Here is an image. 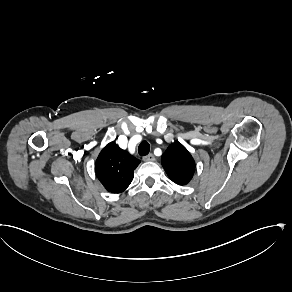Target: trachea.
Returning a JSON list of instances; mask_svg holds the SVG:
<instances>
[{"instance_id":"1","label":"trachea","mask_w":292,"mask_h":292,"mask_svg":"<svg viewBox=\"0 0 292 292\" xmlns=\"http://www.w3.org/2000/svg\"><path fill=\"white\" fill-rule=\"evenodd\" d=\"M150 152V144L147 141H143L140 143L138 147V153L140 156L148 155Z\"/></svg>"}]
</instances>
